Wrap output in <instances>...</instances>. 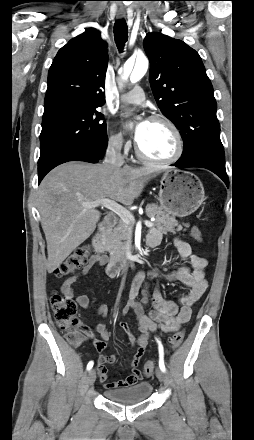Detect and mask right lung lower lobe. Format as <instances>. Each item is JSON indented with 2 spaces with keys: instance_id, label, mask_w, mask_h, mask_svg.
<instances>
[{
  "instance_id": "98d812e1",
  "label": "right lung lower lobe",
  "mask_w": 254,
  "mask_h": 440,
  "mask_svg": "<svg viewBox=\"0 0 254 440\" xmlns=\"http://www.w3.org/2000/svg\"><path fill=\"white\" fill-rule=\"evenodd\" d=\"M107 141L108 139H106L105 142L98 146L89 145L87 147H82L66 154L64 157L54 162H51L46 166L43 171L38 173V182L40 183L44 176L54 167L68 161H85L90 163L98 162L104 155L105 149L107 147Z\"/></svg>"
}]
</instances>
